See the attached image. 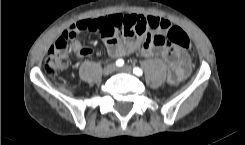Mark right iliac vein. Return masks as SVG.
Masks as SVG:
<instances>
[{
    "instance_id": "1",
    "label": "right iliac vein",
    "mask_w": 245,
    "mask_h": 145,
    "mask_svg": "<svg viewBox=\"0 0 245 145\" xmlns=\"http://www.w3.org/2000/svg\"><path fill=\"white\" fill-rule=\"evenodd\" d=\"M114 70H115V65H114V64H108V65H106V66L104 67L103 73H104L105 75H109V74L113 73Z\"/></svg>"
}]
</instances>
